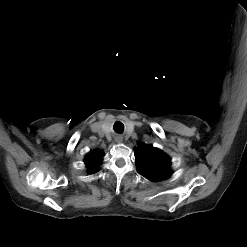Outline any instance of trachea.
Segmentation results:
<instances>
[{
	"label": "trachea",
	"instance_id": "3493384b",
	"mask_svg": "<svg viewBox=\"0 0 247 247\" xmlns=\"http://www.w3.org/2000/svg\"><path fill=\"white\" fill-rule=\"evenodd\" d=\"M120 128V131H117V128ZM114 129H115V131L116 132H122V130L124 129V126H123V124L122 123H116L115 125H114Z\"/></svg>",
	"mask_w": 247,
	"mask_h": 247
}]
</instances>
